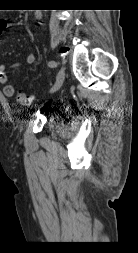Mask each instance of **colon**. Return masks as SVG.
<instances>
[{
	"mask_svg": "<svg viewBox=\"0 0 138 253\" xmlns=\"http://www.w3.org/2000/svg\"><path fill=\"white\" fill-rule=\"evenodd\" d=\"M16 100L18 103H20L21 105H25V106H31L33 104V97L29 94H27L24 91H17L16 93Z\"/></svg>",
	"mask_w": 138,
	"mask_h": 253,
	"instance_id": "colon-1",
	"label": "colon"
}]
</instances>
